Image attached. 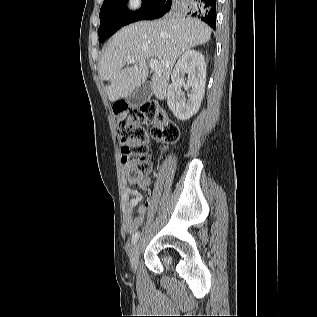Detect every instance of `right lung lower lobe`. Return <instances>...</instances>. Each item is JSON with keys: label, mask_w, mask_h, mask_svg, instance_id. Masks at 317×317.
Wrapping results in <instances>:
<instances>
[{"label": "right lung lower lobe", "mask_w": 317, "mask_h": 317, "mask_svg": "<svg viewBox=\"0 0 317 317\" xmlns=\"http://www.w3.org/2000/svg\"><path fill=\"white\" fill-rule=\"evenodd\" d=\"M173 1L174 0H162L160 4L148 14L146 20L160 18L167 12H170ZM183 8L188 10V14H191V16L200 18L213 29L216 28V0H185Z\"/></svg>", "instance_id": "obj_1"}]
</instances>
